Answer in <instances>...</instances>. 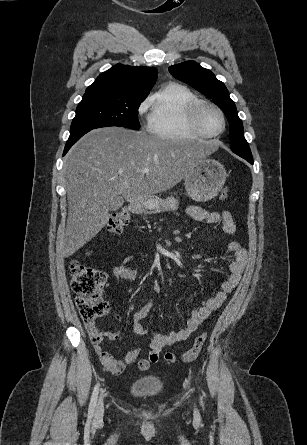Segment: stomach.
I'll return each instance as SVG.
<instances>
[{"instance_id": "stomach-1", "label": "stomach", "mask_w": 307, "mask_h": 445, "mask_svg": "<svg viewBox=\"0 0 307 445\" xmlns=\"http://www.w3.org/2000/svg\"><path fill=\"white\" fill-rule=\"evenodd\" d=\"M225 180L226 170L223 164L214 158H205L190 168L185 176L184 184L190 198L197 202H206V200L217 196L224 186ZM178 204V198L175 196H167V198L147 196L146 200L142 202V206L148 214L164 212V210H177Z\"/></svg>"}]
</instances>
